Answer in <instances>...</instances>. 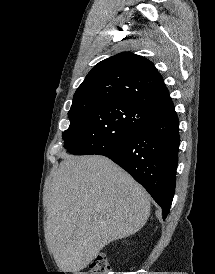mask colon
<instances>
[{
  "label": "colon",
  "instance_id": "5ec220e1",
  "mask_svg": "<svg viewBox=\"0 0 215 274\" xmlns=\"http://www.w3.org/2000/svg\"><path fill=\"white\" fill-rule=\"evenodd\" d=\"M110 265L104 254L97 255L89 266L87 272L81 274H109Z\"/></svg>",
  "mask_w": 215,
  "mask_h": 274
}]
</instances>
